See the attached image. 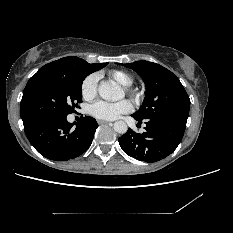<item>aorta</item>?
<instances>
[{
    "instance_id": "aorta-1",
    "label": "aorta",
    "mask_w": 233,
    "mask_h": 233,
    "mask_svg": "<svg viewBox=\"0 0 233 233\" xmlns=\"http://www.w3.org/2000/svg\"><path fill=\"white\" fill-rule=\"evenodd\" d=\"M101 98L107 101H118L124 97V91L115 82L102 81L98 88ZM128 130L124 121L114 123V131L119 134H125Z\"/></svg>"
}]
</instances>
